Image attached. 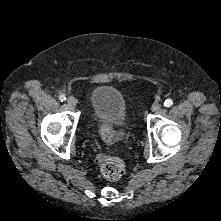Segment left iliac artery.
I'll use <instances>...</instances> for the list:
<instances>
[{"label":"left iliac artery","instance_id":"44dca946","mask_svg":"<svg viewBox=\"0 0 221 221\" xmlns=\"http://www.w3.org/2000/svg\"><path fill=\"white\" fill-rule=\"evenodd\" d=\"M173 105V101L171 99H166L164 102L165 107H170Z\"/></svg>","mask_w":221,"mask_h":221}]
</instances>
